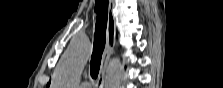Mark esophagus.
<instances>
[{
    "mask_svg": "<svg viewBox=\"0 0 223 88\" xmlns=\"http://www.w3.org/2000/svg\"><path fill=\"white\" fill-rule=\"evenodd\" d=\"M115 47V14H114V0H109L107 29H106V47L102 55L100 71L97 78V88H103L105 73L108 62Z\"/></svg>",
    "mask_w": 223,
    "mask_h": 88,
    "instance_id": "1",
    "label": "esophagus"
}]
</instances>
